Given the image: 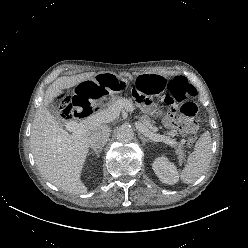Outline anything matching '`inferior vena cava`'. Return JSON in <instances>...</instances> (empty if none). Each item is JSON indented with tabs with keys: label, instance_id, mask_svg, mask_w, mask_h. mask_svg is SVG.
<instances>
[{
	"label": "inferior vena cava",
	"instance_id": "obj_1",
	"mask_svg": "<svg viewBox=\"0 0 248 248\" xmlns=\"http://www.w3.org/2000/svg\"><path fill=\"white\" fill-rule=\"evenodd\" d=\"M110 128L107 125L96 127L89 136L88 143L92 149H101L104 147L110 137Z\"/></svg>",
	"mask_w": 248,
	"mask_h": 248
}]
</instances>
